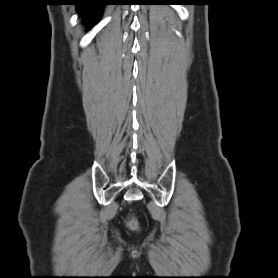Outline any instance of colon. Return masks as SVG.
<instances>
[{
    "mask_svg": "<svg viewBox=\"0 0 278 278\" xmlns=\"http://www.w3.org/2000/svg\"><path fill=\"white\" fill-rule=\"evenodd\" d=\"M128 224L131 228H136V223L133 220H129Z\"/></svg>",
    "mask_w": 278,
    "mask_h": 278,
    "instance_id": "obj_1",
    "label": "colon"
}]
</instances>
